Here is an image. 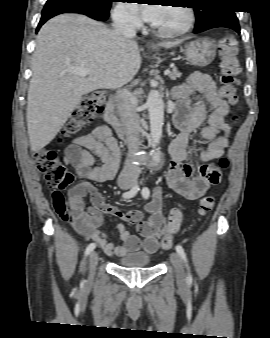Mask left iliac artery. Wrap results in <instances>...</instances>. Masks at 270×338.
<instances>
[{"instance_id": "obj_1", "label": "left iliac artery", "mask_w": 270, "mask_h": 338, "mask_svg": "<svg viewBox=\"0 0 270 338\" xmlns=\"http://www.w3.org/2000/svg\"><path fill=\"white\" fill-rule=\"evenodd\" d=\"M141 194H142L143 198L148 199L149 196H150V190H149V188L148 187H144L142 189ZM176 251L180 255V257L183 259V261L185 262V265H186L187 270H188V280H191L192 277H191V274H190V269H189V266H188L186 254H185V251H184L183 247L181 245H177L176 246Z\"/></svg>"}]
</instances>
